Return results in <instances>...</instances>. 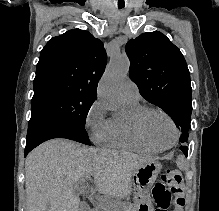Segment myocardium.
Instances as JSON below:
<instances>
[{
    "label": "myocardium",
    "mask_w": 219,
    "mask_h": 211,
    "mask_svg": "<svg viewBox=\"0 0 219 211\" xmlns=\"http://www.w3.org/2000/svg\"><path fill=\"white\" fill-rule=\"evenodd\" d=\"M152 113L161 114L165 118H167V120L170 122V124L173 128V131H174V136H175L174 142L170 146L159 147L149 137V135L147 133V130H146V119ZM132 121H133L134 129H135L136 133L138 134V136L140 137V139L143 142H145L146 144H148L149 146L153 147L154 149H156L158 151H165V150L171 149L178 142L179 133H178V129H177L175 121L173 120V118L166 111H164L160 108L142 106L141 108H139L136 111V113L133 116Z\"/></svg>",
    "instance_id": "f54148a6"
}]
</instances>
